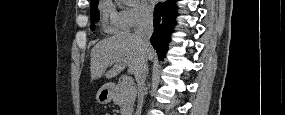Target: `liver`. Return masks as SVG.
Returning a JSON list of instances; mask_svg holds the SVG:
<instances>
[{
    "mask_svg": "<svg viewBox=\"0 0 285 115\" xmlns=\"http://www.w3.org/2000/svg\"><path fill=\"white\" fill-rule=\"evenodd\" d=\"M148 59L154 55L152 47L148 50ZM91 79L105 76L111 79L117 76L128 65V73L134 74L139 68L143 52L134 34L120 32L98 42L91 50ZM111 67L108 71L107 68Z\"/></svg>",
    "mask_w": 285,
    "mask_h": 115,
    "instance_id": "6515ba94",
    "label": "liver"
}]
</instances>
